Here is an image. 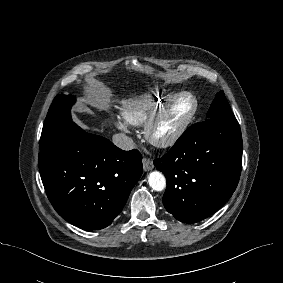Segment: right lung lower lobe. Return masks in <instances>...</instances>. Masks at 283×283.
Segmentation results:
<instances>
[{
	"instance_id": "98d812e1",
	"label": "right lung lower lobe",
	"mask_w": 283,
	"mask_h": 283,
	"mask_svg": "<svg viewBox=\"0 0 283 283\" xmlns=\"http://www.w3.org/2000/svg\"><path fill=\"white\" fill-rule=\"evenodd\" d=\"M141 160L137 150L123 151L75 123L38 155L52 206L66 221L85 230L107 227L122 211L143 172Z\"/></svg>"
}]
</instances>
